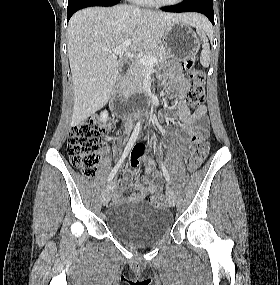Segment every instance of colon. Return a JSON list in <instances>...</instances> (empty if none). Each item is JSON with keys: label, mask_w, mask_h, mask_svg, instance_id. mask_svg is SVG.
I'll list each match as a JSON object with an SVG mask.
<instances>
[{"label": "colon", "mask_w": 280, "mask_h": 285, "mask_svg": "<svg viewBox=\"0 0 280 285\" xmlns=\"http://www.w3.org/2000/svg\"><path fill=\"white\" fill-rule=\"evenodd\" d=\"M196 59L189 58L184 62V70L189 73L191 86L186 92V101L191 107H199L205 97L206 76L204 72L195 69ZM116 131L114 119L102 121L95 117L87 119L72 127L68 141V155L71 164L79 169L85 176L93 177L97 172V164L105 144V134ZM143 152L134 149L131 159L137 161ZM209 152L207 135L194 134L191 139L190 162L191 170L197 169ZM150 175L149 171H146ZM150 200L155 203H164L165 195L162 193L152 195Z\"/></svg>", "instance_id": "obj_1"}]
</instances>
